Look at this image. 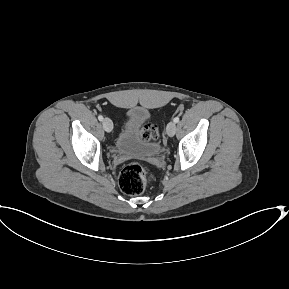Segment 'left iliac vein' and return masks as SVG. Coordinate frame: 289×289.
<instances>
[{
    "mask_svg": "<svg viewBox=\"0 0 289 289\" xmlns=\"http://www.w3.org/2000/svg\"><path fill=\"white\" fill-rule=\"evenodd\" d=\"M166 132H167L168 136H170V137L174 136V134L176 132L175 122L171 121L168 123V125L166 127Z\"/></svg>",
    "mask_w": 289,
    "mask_h": 289,
    "instance_id": "left-iliac-vein-1",
    "label": "left iliac vein"
}]
</instances>
